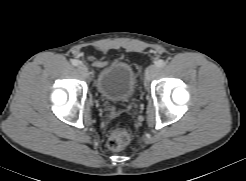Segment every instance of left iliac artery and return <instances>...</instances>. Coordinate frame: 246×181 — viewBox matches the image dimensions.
<instances>
[{
	"label": "left iliac artery",
	"mask_w": 246,
	"mask_h": 181,
	"mask_svg": "<svg viewBox=\"0 0 246 181\" xmlns=\"http://www.w3.org/2000/svg\"><path fill=\"white\" fill-rule=\"evenodd\" d=\"M155 64H156V66H157L158 68H162V67L165 66V62H164V60H162V59L157 60V61L155 62Z\"/></svg>",
	"instance_id": "left-iliac-artery-1"
}]
</instances>
